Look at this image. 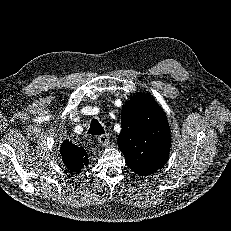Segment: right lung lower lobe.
Instances as JSON below:
<instances>
[{
  "label": "right lung lower lobe",
  "instance_id": "obj_1",
  "mask_svg": "<svg viewBox=\"0 0 231 231\" xmlns=\"http://www.w3.org/2000/svg\"><path fill=\"white\" fill-rule=\"evenodd\" d=\"M61 148H64L67 151H70L75 154H80L83 152H86L83 147H77L74 144H71L69 141H64Z\"/></svg>",
  "mask_w": 231,
  "mask_h": 231
}]
</instances>
